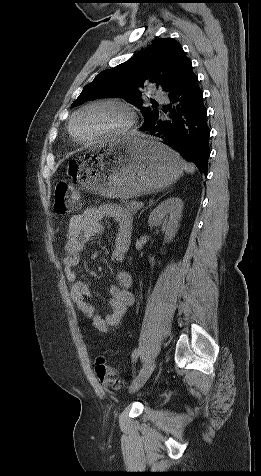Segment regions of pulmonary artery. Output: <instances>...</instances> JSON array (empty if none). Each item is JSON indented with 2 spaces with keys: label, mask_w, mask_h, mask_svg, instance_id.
I'll list each match as a JSON object with an SVG mask.
<instances>
[{
  "label": "pulmonary artery",
  "mask_w": 261,
  "mask_h": 476,
  "mask_svg": "<svg viewBox=\"0 0 261 476\" xmlns=\"http://www.w3.org/2000/svg\"><path fill=\"white\" fill-rule=\"evenodd\" d=\"M153 97L154 99H156L157 101H160V102H166V97L163 95L162 92L156 90L153 92Z\"/></svg>",
  "instance_id": "pulmonary-artery-1"
}]
</instances>
